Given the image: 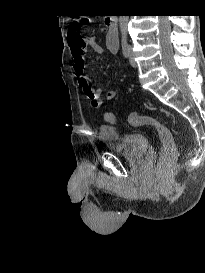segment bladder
Masks as SVG:
<instances>
[{
    "label": "bladder",
    "mask_w": 205,
    "mask_h": 273,
    "mask_svg": "<svg viewBox=\"0 0 205 273\" xmlns=\"http://www.w3.org/2000/svg\"><path fill=\"white\" fill-rule=\"evenodd\" d=\"M99 137L110 151L133 161L143 159L149 149V140L143 133H121L112 125H102L99 128Z\"/></svg>",
    "instance_id": "1"
}]
</instances>
